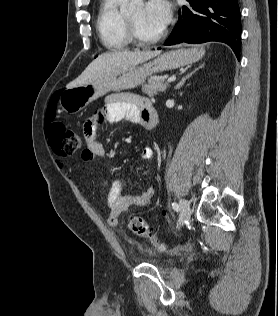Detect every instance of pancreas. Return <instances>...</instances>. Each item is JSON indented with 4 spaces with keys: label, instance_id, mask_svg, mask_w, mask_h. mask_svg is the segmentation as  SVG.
<instances>
[{
    "label": "pancreas",
    "instance_id": "1",
    "mask_svg": "<svg viewBox=\"0 0 278 316\" xmlns=\"http://www.w3.org/2000/svg\"><path fill=\"white\" fill-rule=\"evenodd\" d=\"M168 84L165 83L164 77L151 78L148 84H143L142 92L150 97L156 96L160 92H165Z\"/></svg>",
    "mask_w": 278,
    "mask_h": 316
}]
</instances>
